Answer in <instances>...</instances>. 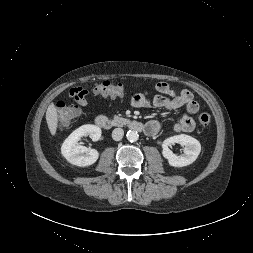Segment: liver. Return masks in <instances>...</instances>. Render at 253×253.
Here are the masks:
<instances>
[{"instance_id":"1","label":"liver","mask_w":253,"mask_h":253,"mask_svg":"<svg viewBox=\"0 0 253 253\" xmlns=\"http://www.w3.org/2000/svg\"><path fill=\"white\" fill-rule=\"evenodd\" d=\"M46 121L51 135H55L58 127V113L54 103H51L46 111Z\"/></svg>"}]
</instances>
